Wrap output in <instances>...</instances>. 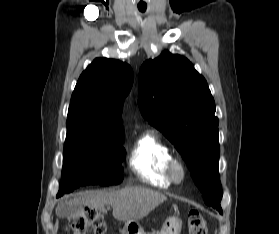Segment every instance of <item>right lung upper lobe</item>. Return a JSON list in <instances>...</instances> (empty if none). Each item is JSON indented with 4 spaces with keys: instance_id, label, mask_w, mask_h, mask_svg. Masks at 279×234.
I'll return each instance as SVG.
<instances>
[{
    "instance_id": "obj_1",
    "label": "right lung upper lobe",
    "mask_w": 279,
    "mask_h": 234,
    "mask_svg": "<svg viewBox=\"0 0 279 234\" xmlns=\"http://www.w3.org/2000/svg\"><path fill=\"white\" fill-rule=\"evenodd\" d=\"M132 84L133 71L128 64L96 58L75 86L67 121L86 122L100 135H124L121 110Z\"/></svg>"
}]
</instances>
